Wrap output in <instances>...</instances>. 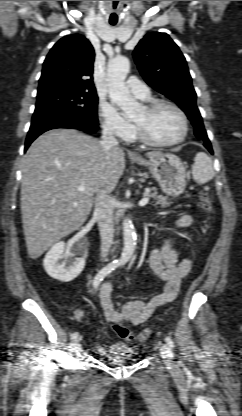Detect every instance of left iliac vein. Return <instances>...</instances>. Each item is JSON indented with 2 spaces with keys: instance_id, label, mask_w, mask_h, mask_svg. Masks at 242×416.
<instances>
[{
  "instance_id": "1",
  "label": "left iliac vein",
  "mask_w": 242,
  "mask_h": 416,
  "mask_svg": "<svg viewBox=\"0 0 242 416\" xmlns=\"http://www.w3.org/2000/svg\"><path fill=\"white\" fill-rule=\"evenodd\" d=\"M160 350L162 351V353H164L166 355H170V353H171L170 348L165 344H161Z\"/></svg>"
}]
</instances>
